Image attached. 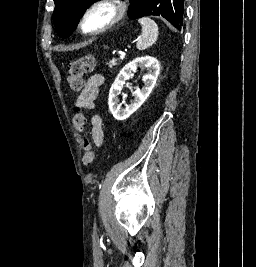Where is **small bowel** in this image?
<instances>
[{"label":"small bowel","instance_id":"c3829d8e","mask_svg":"<svg viewBox=\"0 0 256 267\" xmlns=\"http://www.w3.org/2000/svg\"><path fill=\"white\" fill-rule=\"evenodd\" d=\"M104 82L101 74H92L84 81L83 88L76 100V106L81 109H92L98 96L99 88ZM91 139L95 146L100 147L104 141L102 120L98 115L91 117ZM90 146L89 142L87 141Z\"/></svg>","mask_w":256,"mask_h":267}]
</instances>
